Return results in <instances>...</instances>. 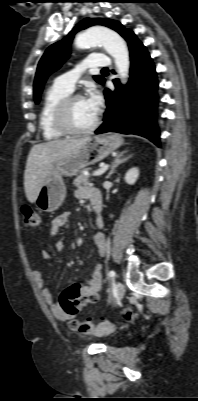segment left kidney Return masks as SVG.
<instances>
[{
  "mask_svg": "<svg viewBox=\"0 0 198 401\" xmlns=\"http://www.w3.org/2000/svg\"><path fill=\"white\" fill-rule=\"evenodd\" d=\"M139 176V170L138 168L134 167L131 168L126 174H125V182L129 185H133Z\"/></svg>",
  "mask_w": 198,
  "mask_h": 401,
  "instance_id": "5707ae66",
  "label": "left kidney"
}]
</instances>
